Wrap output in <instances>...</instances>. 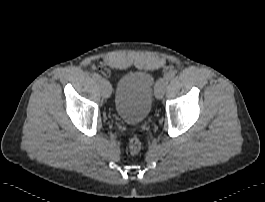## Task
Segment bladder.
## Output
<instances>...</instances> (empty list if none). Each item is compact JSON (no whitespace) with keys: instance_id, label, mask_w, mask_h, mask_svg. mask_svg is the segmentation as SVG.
Listing matches in <instances>:
<instances>
[{"instance_id":"bladder-1","label":"bladder","mask_w":265,"mask_h":202,"mask_svg":"<svg viewBox=\"0 0 265 202\" xmlns=\"http://www.w3.org/2000/svg\"><path fill=\"white\" fill-rule=\"evenodd\" d=\"M157 81L145 71L125 74L115 90L114 108L126 123H142L149 115Z\"/></svg>"}]
</instances>
